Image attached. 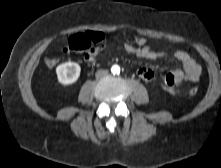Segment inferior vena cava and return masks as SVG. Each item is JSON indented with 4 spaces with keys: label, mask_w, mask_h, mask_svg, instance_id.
I'll list each match as a JSON object with an SVG mask.
<instances>
[{
    "label": "inferior vena cava",
    "mask_w": 221,
    "mask_h": 168,
    "mask_svg": "<svg viewBox=\"0 0 221 168\" xmlns=\"http://www.w3.org/2000/svg\"><path fill=\"white\" fill-rule=\"evenodd\" d=\"M95 75L97 79H101L103 77L108 76V71L101 69V70H98Z\"/></svg>",
    "instance_id": "602c4592"
}]
</instances>
